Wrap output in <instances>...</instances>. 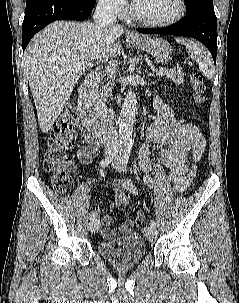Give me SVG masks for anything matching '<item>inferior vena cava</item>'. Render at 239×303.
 Listing matches in <instances>:
<instances>
[{
	"label": "inferior vena cava",
	"mask_w": 239,
	"mask_h": 303,
	"mask_svg": "<svg viewBox=\"0 0 239 303\" xmlns=\"http://www.w3.org/2000/svg\"><path fill=\"white\" fill-rule=\"evenodd\" d=\"M94 23L99 27H104L106 25H114L117 21L115 13H114V4L112 0H99L95 13L93 15ZM107 75L109 76V83L104 88L103 99H111L113 96V86H114V77H113V69H108ZM114 112L111 108L108 111V121L105 135V149L106 150H114L118 151L120 148L119 140H118V132L116 127H114Z\"/></svg>",
	"instance_id": "obj_1"
}]
</instances>
